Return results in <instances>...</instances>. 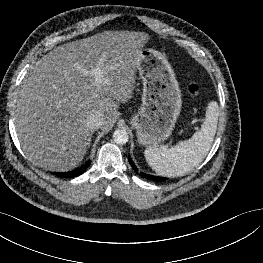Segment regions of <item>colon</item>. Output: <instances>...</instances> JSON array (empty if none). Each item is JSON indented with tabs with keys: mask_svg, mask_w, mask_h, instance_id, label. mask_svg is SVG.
<instances>
[{
	"mask_svg": "<svg viewBox=\"0 0 263 263\" xmlns=\"http://www.w3.org/2000/svg\"><path fill=\"white\" fill-rule=\"evenodd\" d=\"M199 86L196 83H191L188 86V93L192 98H197L199 96Z\"/></svg>",
	"mask_w": 263,
	"mask_h": 263,
	"instance_id": "1",
	"label": "colon"
}]
</instances>
